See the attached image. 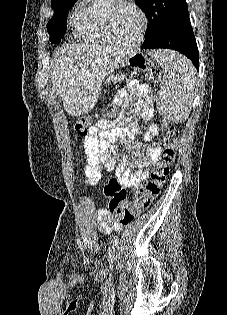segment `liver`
Listing matches in <instances>:
<instances>
[{"instance_id":"1","label":"liver","mask_w":227,"mask_h":315,"mask_svg":"<svg viewBox=\"0 0 227 315\" xmlns=\"http://www.w3.org/2000/svg\"><path fill=\"white\" fill-rule=\"evenodd\" d=\"M121 49L95 44H71L54 55L52 90L62 98L71 116L90 112L99 99L105 77L132 56Z\"/></svg>"}]
</instances>
